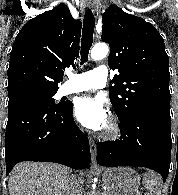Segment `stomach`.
I'll return each instance as SVG.
<instances>
[{
    "label": "stomach",
    "instance_id": "1",
    "mask_svg": "<svg viewBox=\"0 0 178 195\" xmlns=\"http://www.w3.org/2000/svg\"><path fill=\"white\" fill-rule=\"evenodd\" d=\"M102 179L108 195H138L140 176L132 168H105Z\"/></svg>",
    "mask_w": 178,
    "mask_h": 195
}]
</instances>
